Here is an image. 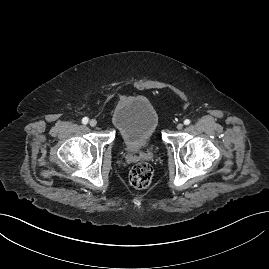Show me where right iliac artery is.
<instances>
[{
    "mask_svg": "<svg viewBox=\"0 0 269 269\" xmlns=\"http://www.w3.org/2000/svg\"><path fill=\"white\" fill-rule=\"evenodd\" d=\"M88 121H89L88 117H84V118L82 119V123H83V124H87Z\"/></svg>",
    "mask_w": 269,
    "mask_h": 269,
    "instance_id": "82829eb1",
    "label": "right iliac artery"
}]
</instances>
